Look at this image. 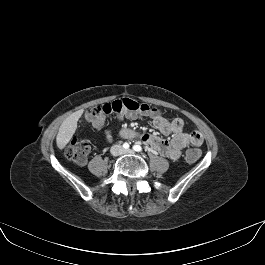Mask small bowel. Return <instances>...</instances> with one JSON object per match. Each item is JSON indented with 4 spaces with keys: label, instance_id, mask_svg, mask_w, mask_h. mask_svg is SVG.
Returning <instances> with one entry per match:
<instances>
[{
    "label": "small bowel",
    "instance_id": "small-bowel-1",
    "mask_svg": "<svg viewBox=\"0 0 265 265\" xmlns=\"http://www.w3.org/2000/svg\"><path fill=\"white\" fill-rule=\"evenodd\" d=\"M128 117L137 118L140 115L128 114ZM153 126L162 134H172L170 139H165L156 135L144 134L141 140L150 146L153 150L171 160H177L182 150L190 145L200 146L203 142L202 135L193 131L190 133L183 132L184 121L181 118H175L169 121L160 113L151 116ZM106 139L112 141V133L109 130L105 132Z\"/></svg>",
    "mask_w": 265,
    "mask_h": 265
}]
</instances>
